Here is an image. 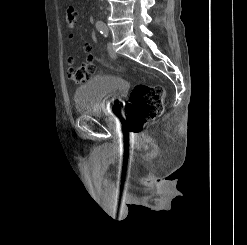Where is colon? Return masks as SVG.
<instances>
[{"label": "colon", "mask_w": 247, "mask_h": 245, "mask_svg": "<svg viewBox=\"0 0 247 245\" xmlns=\"http://www.w3.org/2000/svg\"><path fill=\"white\" fill-rule=\"evenodd\" d=\"M82 51L85 59L79 67L73 66V58L68 59L67 75L74 83L85 82L96 71L92 63L91 47L84 44ZM164 101L165 90L162 86L136 85L130 93L126 107L127 129L132 133H139L149 121L162 113Z\"/></svg>", "instance_id": "5ec220e1"}]
</instances>
